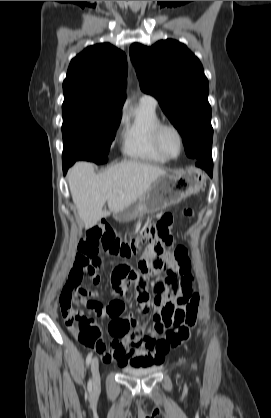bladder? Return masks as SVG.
Wrapping results in <instances>:
<instances>
[{
  "mask_svg": "<svg viewBox=\"0 0 271 418\" xmlns=\"http://www.w3.org/2000/svg\"><path fill=\"white\" fill-rule=\"evenodd\" d=\"M159 369L158 366H152V367H143V368H126L124 369V373L131 375V376H136V377H143V376H147L149 374H152L154 372H156Z\"/></svg>",
  "mask_w": 271,
  "mask_h": 418,
  "instance_id": "31cf9c89",
  "label": "bladder"
}]
</instances>
